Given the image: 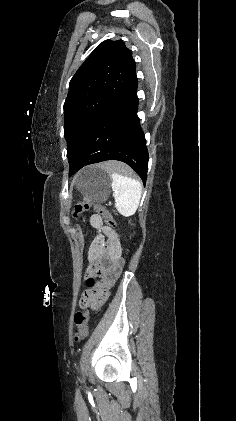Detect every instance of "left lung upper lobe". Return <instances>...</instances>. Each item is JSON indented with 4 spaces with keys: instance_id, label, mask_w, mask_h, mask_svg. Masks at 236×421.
Wrapping results in <instances>:
<instances>
[{
    "instance_id": "left-lung-upper-lobe-1",
    "label": "left lung upper lobe",
    "mask_w": 236,
    "mask_h": 421,
    "mask_svg": "<svg viewBox=\"0 0 236 421\" xmlns=\"http://www.w3.org/2000/svg\"><path fill=\"white\" fill-rule=\"evenodd\" d=\"M135 69L125 44L106 40L80 66L69 84L64 103L69 165L79 158L98 119L125 88Z\"/></svg>"
}]
</instances>
